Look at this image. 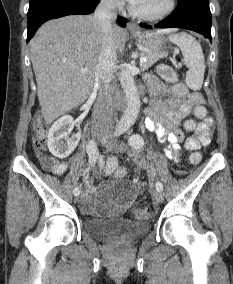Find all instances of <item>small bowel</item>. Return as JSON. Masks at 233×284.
Segmentation results:
<instances>
[{"label": "small bowel", "mask_w": 233, "mask_h": 284, "mask_svg": "<svg viewBox=\"0 0 233 284\" xmlns=\"http://www.w3.org/2000/svg\"><path fill=\"white\" fill-rule=\"evenodd\" d=\"M148 83L151 93L160 98L148 108L145 126L168 142L169 146L164 150L165 156L177 161L180 158L183 142L184 147L190 151L208 145L212 127L210 118H205L186 139L181 128V122L189 115L191 109L203 106V96L198 92L189 91L183 84H176L169 88L154 77H149ZM47 166L54 174L61 175L67 170L68 163L50 159L47 161ZM84 182L86 191L90 192L92 186L86 176ZM83 207L86 210L93 207L92 201L87 196L83 200Z\"/></svg>", "instance_id": "1"}]
</instances>
